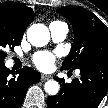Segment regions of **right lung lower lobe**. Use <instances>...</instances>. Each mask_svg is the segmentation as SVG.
<instances>
[{
	"label": "right lung lower lobe",
	"mask_w": 108,
	"mask_h": 108,
	"mask_svg": "<svg viewBox=\"0 0 108 108\" xmlns=\"http://www.w3.org/2000/svg\"><path fill=\"white\" fill-rule=\"evenodd\" d=\"M36 70L24 67L16 73L0 63V108H19L28 87L40 81Z\"/></svg>",
	"instance_id": "1"
}]
</instances>
